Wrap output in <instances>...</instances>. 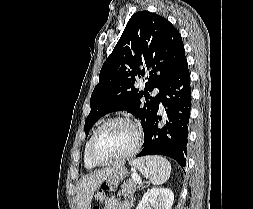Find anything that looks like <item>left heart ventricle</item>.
<instances>
[{
  "label": "left heart ventricle",
  "mask_w": 253,
  "mask_h": 209,
  "mask_svg": "<svg viewBox=\"0 0 253 209\" xmlns=\"http://www.w3.org/2000/svg\"><path fill=\"white\" fill-rule=\"evenodd\" d=\"M134 139V131L129 124L113 122L100 132L95 144V155L102 161L118 158L130 150Z\"/></svg>",
  "instance_id": "1"
}]
</instances>
